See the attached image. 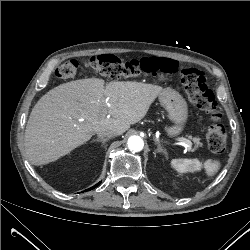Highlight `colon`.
Masks as SVG:
<instances>
[{
	"instance_id": "obj_1",
	"label": "colon",
	"mask_w": 250,
	"mask_h": 250,
	"mask_svg": "<svg viewBox=\"0 0 250 250\" xmlns=\"http://www.w3.org/2000/svg\"><path fill=\"white\" fill-rule=\"evenodd\" d=\"M80 68L111 79L135 77L141 74L157 77L161 80L171 75L176 76L182 82L190 102L206 113L210 119V125L205 134L209 149L215 153L224 151L227 130L220 122L221 110L213 92L206 84L204 72L200 68L178 65L171 59L151 57L121 59L115 55L106 54L88 59H71L57 68L56 75L62 80H70L77 75Z\"/></svg>"
}]
</instances>
